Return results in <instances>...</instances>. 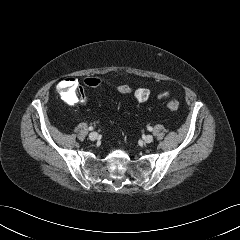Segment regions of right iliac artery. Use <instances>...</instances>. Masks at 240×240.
Here are the masks:
<instances>
[{
	"mask_svg": "<svg viewBox=\"0 0 240 240\" xmlns=\"http://www.w3.org/2000/svg\"><path fill=\"white\" fill-rule=\"evenodd\" d=\"M94 128L92 126L89 127V130L92 131Z\"/></svg>",
	"mask_w": 240,
	"mask_h": 240,
	"instance_id": "obj_1",
	"label": "right iliac artery"
}]
</instances>
